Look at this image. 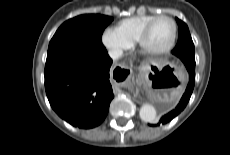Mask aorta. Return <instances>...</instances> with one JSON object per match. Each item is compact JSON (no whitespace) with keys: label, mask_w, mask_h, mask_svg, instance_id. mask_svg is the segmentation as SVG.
<instances>
[{"label":"aorta","mask_w":230,"mask_h":155,"mask_svg":"<svg viewBox=\"0 0 230 155\" xmlns=\"http://www.w3.org/2000/svg\"><path fill=\"white\" fill-rule=\"evenodd\" d=\"M139 115L142 121L153 123L156 120V109L150 104H144L140 108Z\"/></svg>","instance_id":"1"}]
</instances>
